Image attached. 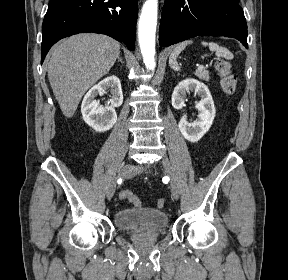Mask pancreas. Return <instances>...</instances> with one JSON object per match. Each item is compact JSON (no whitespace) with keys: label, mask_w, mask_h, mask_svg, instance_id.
<instances>
[{"label":"pancreas","mask_w":288,"mask_h":280,"mask_svg":"<svg viewBox=\"0 0 288 280\" xmlns=\"http://www.w3.org/2000/svg\"><path fill=\"white\" fill-rule=\"evenodd\" d=\"M195 75L199 78L202 79L204 81H209V72L206 69H198L195 72Z\"/></svg>","instance_id":"1"}]
</instances>
